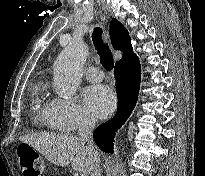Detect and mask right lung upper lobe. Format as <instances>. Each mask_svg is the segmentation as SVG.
<instances>
[{"mask_svg": "<svg viewBox=\"0 0 205 176\" xmlns=\"http://www.w3.org/2000/svg\"><path fill=\"white\" fill-rule=\"evenodd\" d=\"M110 36L114 48L123 51V58L118 62L126 61L135 56L127 29L116 19L111 20Z\"/></svg>", "mask_w": 205, "mask_h": 176, "instance_id": "cb5924a9", "label": "right lung upper lobe"}]
</instances>
